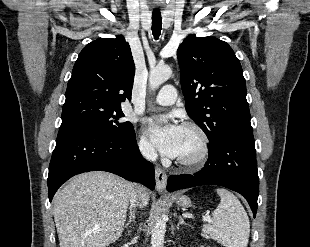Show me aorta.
<instances>
[{
	"label": "aorta",
	"mask_w": 310,
	"mask_h": 247,
	"mask_svg": "<svg viewBox=\"0 0 310 247\" xmlns=\"http://www.w3.org/2000/svg\"><path fill=\"white\" fill-rule=\"evenodd\" d=\"M172 75V70L169 66H157L150 71L149 87L155 90ZM166 231L165 216L157 219L151 234V247H163L164 237Z\"/></svg>",
	"instance_id": "obj_1"
}]
</instances>
